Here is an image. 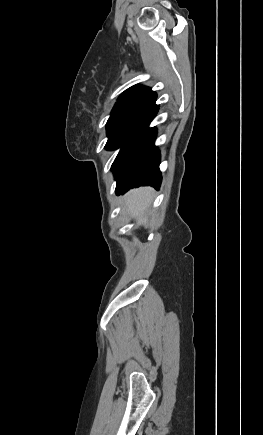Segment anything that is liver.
<instances>
[{
  "label": "liver",
  "instance_id": "obj_1",
  "mask_svg": "<svg viewBox=\"0 0 263 435\" xmlns=\"http://www.w3.org/2000/svg\"><path fill=\"white\" fill-rule=\"evenodd\" d=\"M152 189L142 187L131 190L124 197V206L128 213L134 219H139L140 222L145 221V215L151 203Z\"/></svg>",
  "mask_w": 263,
  "mask_h": 435
}]
</instances>
